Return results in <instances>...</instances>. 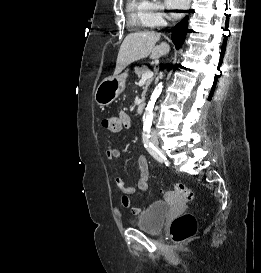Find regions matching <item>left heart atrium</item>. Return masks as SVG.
Instances as JSON below:
<instances>
[{"label": "left heart atrium", "mask_w": 261, "mask_h": 273, "mask_svg": "<svg viewBox=\"0 0 261 273\" xmlns=\"http://www.w3.org/2000/svg\"><path fill=\"white\" fill-rule=\"evenodd\" d=\"M165 2L170 9L175 11V15H179L189 4V0H165Z\"/></svg>", "instance_id": "1"}]
</instances>
